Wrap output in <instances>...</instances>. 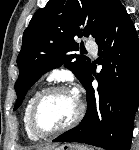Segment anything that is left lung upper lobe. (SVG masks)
Wrapping results in <instances>:
<instances>
[{
	"label": "left lung upper lobe",
	"mask_w": 139,
	"mask_h": 150,
	"mask_svg": "<svg viewBox=\"0 0 139 150\" xmlns=\"http://www.w3.org/2000/svg\"><path fill=\"white\" fill-rule=\"evenodd\" d=\"M117 0H50L32 17L24 31L17 58L19 77L15 83L16 110L28 89L45 72L60 67L70 69L85 85L91 70L90 60L79 50L75 37H94L105 29Z\"/></svg>",
	"instance_id": "5c2ea615"
}]
</instances>
